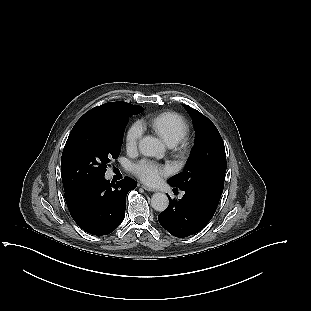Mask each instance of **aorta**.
I'll return each instance as SVG.
<instances>
[{
    "instance_id": "aorta-1",
    "label": "aorta",
    "mask_w": 311,
    "mask_h": 311,
    "mask_svg": "<svg viewBox=\"0 0 311 311\" xmlns=\"http://www.w3.org/2000/svg\"><path fill=\"white\" fill-rule=\"evenodd\" d=\"M140 150L145 156L162 157L166 147L160 139L148 136L140 142ZM151 205L157 211L165 210L168 206L167 195L162 192H155L151 197Z\"/></svg>"
}]
</instances>
